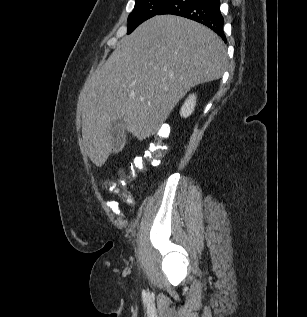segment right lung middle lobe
I'll use <instances>...</instances> for the list:
<instances>
[{"instance_id": "1", "label": "right lung middle lobe", "mask_w": 307, "mask_h": 317, "mask_svg": "<svg viewBox=\"0 0 307 317\" xmlns=\"http://www.w3.org/2000/svg\"><path fill=\"white\" fill-rule=\"evenodd\" d=\"M172 0H136L135 7L128 17V32H133L145 20L158 15Z\"/></svg>"}]
</instances>
